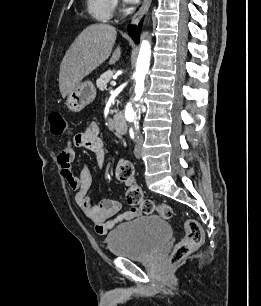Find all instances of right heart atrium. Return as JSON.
<instances>
[{
	"instance_id": "d8ad5b80",
	"label": "right heart atrium",
	"mask_w": 261,
	"mask_h": 306,
	"mask_svg": "<svg viewBox=\"0 0 261 306\" xmlns=\"http://www.w3.org/2000/svg\"><path fill=\"white\" fill-rule=\"evenodd\" d=\"M112 1V10L116 11L119 7L118 1L117 0H111Z\"/></svg>"
}]
</instances>
